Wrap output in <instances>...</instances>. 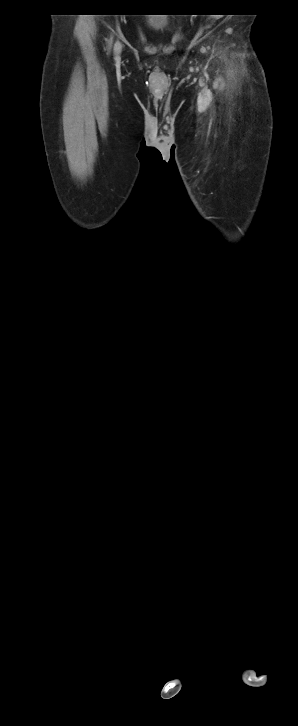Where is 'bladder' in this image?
Listing matches in <instances>:
<instances>
[{
  "instance_id": "31cf9c89",
  "label": "bladder",
  "mask_w": 298,
  "mask_h": 726,
  "mask_svg": "<svg viewBox=\"0 0 298 726\" xmlns=\"http://www.w3.org/2000/svg\"><path fill=\"white\" fill-rule=\"evenodd\" d=\"M169 23V20L167 18H153L147 21V26L154 30H161L164 29L167 24Z\"/></svg>"
}]
</instances>
